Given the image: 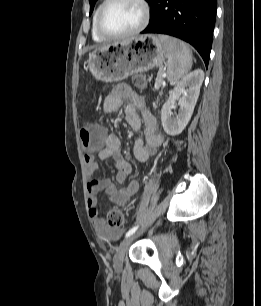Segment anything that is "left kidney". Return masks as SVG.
I'll use <instances>...</instances> for the list:
<instances>
[{"mask_svg":"<svg viewBox=\"0 0 261 306\" xmlns=\"http://www.w3.org/2000/svg\"><path fill=\"white\" fill-rule=\"evenodd\" d=\"M203 80L204 72L197 69L174 83V88L161 110L162 126L166 134L176 136L185 129L193 114ZM176 101L179 110L173 117L171 110Z\"/></svg>","mask_w":261,"mask_h":306,"instance_id":"left-kidney-1","label":"left kidney"}]
</instances>
